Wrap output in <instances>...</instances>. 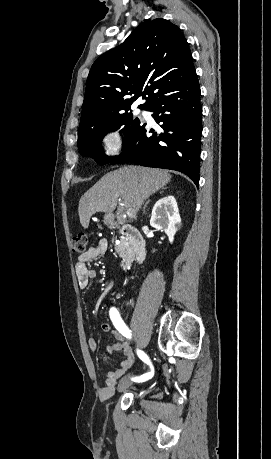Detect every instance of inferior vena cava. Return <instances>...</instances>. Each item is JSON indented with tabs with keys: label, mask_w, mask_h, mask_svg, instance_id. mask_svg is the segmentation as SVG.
I'll list each match as a JSON object with an SVG mask.
<instances>
[{
	"label": "inferior vena cava",
	"mask_w": 271,
	"mask_h": 459,
	"mask_svg": "<svg viewBox=\"0 0 271 459\" xmlns=\"http://www.w3.org/2000/svg\"><path fill=\"white\" fill-rule=\"evenodd\" d=\"M140 206H141V202H137V208H136V210H139Z\"/></svg>",
	"instance_id": "obj_1"
}]
</instances>
